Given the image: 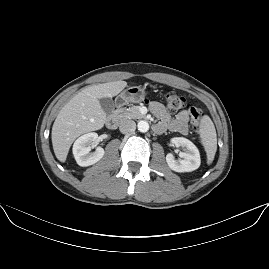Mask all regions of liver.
<instances>
[{
    "mask_svg": "<svg viewBox=\"0 0 269 269\" xmlns=\"http://www.w3.org/2000/svg\"><path fill=\"white\" fill-rule=\"evenodd\" d=\"M126 86L127 82L121 80L90 86L60 110L52 127L53 149L59 161H66L70 146L78 136L104 126L106 113L99 99L112 98Z\"/></svg>",
    "mask_w": 269,
    "mask_h": 269,
    "instance_id": "1",
    "label": "liver"
}]
</instances>
